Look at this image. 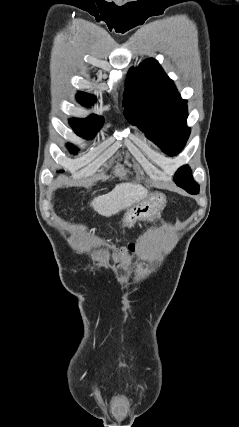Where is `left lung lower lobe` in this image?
Returning a JSON list of instances; mask_svg holds the SVG:
<instances>
[{"instance_id":"1","label":"left lung lower lobe","mask_w":239,"mask_h":427,"mask_svg":"<svg viewBox=\"0 0 239 427\" xmlns=\"http://www.w3.org/2000/svg\"><path fill=\"white\" fill-rule=\"evenodd\" d=\"M186 190V189H185ZM188 193H190V194H193V195H195V194H197V193H199V189H196V190H186Z\"/></svg>"}]
</instances>
